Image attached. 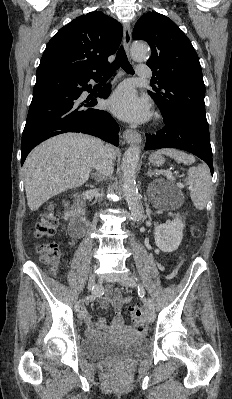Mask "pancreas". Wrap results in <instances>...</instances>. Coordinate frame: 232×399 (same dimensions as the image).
Listing matches in <instances>:
<instances>
[{
    "label": "pancreas",
    "instance_id": "pancreas-1",
    "mask_svg": "<svg viewBox=\"0 0 232 399\" xmlns=\"http://www.w3.org/2000/svg\"><path fill=\"white\" fill-rule=\"evenodd\" d=\"M168 180H172V178H168Z\"/></svg>",
    "mask_w": 232,
    "mask_h": 399
}]
</instances>
